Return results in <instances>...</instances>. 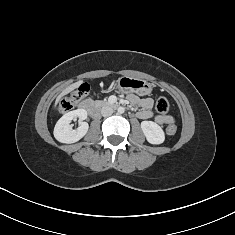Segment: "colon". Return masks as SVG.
Returning a JSON list of instances; mask_svg holds the SVG:
<instances>
[{
    "mask_svg": "<svg viewBox=\"0 0 235 235\" xmlns=\"http://www.w3.org/2000/svg\"><path fill=\"white\" fill-rule=\"evenodd\" d=\"M90 88L89 85L83 84L77 90L72 92L69 96L64 98L59 106L58 111L65 113L71 111L81 100L87 97L89 94ZM170 103L167 98L159 97L156 100V110L162 114L166 115L169 112ZM177 132V126L175 124H170L166 127V134L167 135H174Z\"/></svg>",
    "mask_w": 235,
    "mask_h": 235,
    "instance_id": "1",
    "label": "colon"
}]
</instances>
